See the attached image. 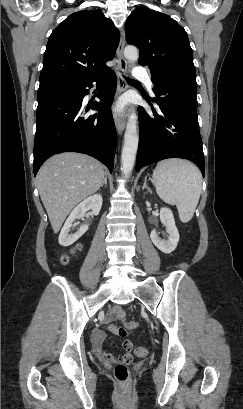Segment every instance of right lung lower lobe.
<instances>
[{"instance_id":"obj_1","label":"right lung lower lobe","mask_w":243,"mask_h":409,"mask_svg":"<svg viewBox=\"0 0 243 409\" xmlns=\"http://www.w3.org/2000/svg\"><path fill=\"white\" fill-rule=\"evenodd\" d=\"M93 82L102 83L98 93L100 102L86 107L82 100ZM117 85L116 75L107 68L103 72L76 85L54 88L38 93L36 134L34 143V175L50 156L62 152H80L93 156L113 170L116 149V129L110 106Z\"/></svg>"}]
</instances>
